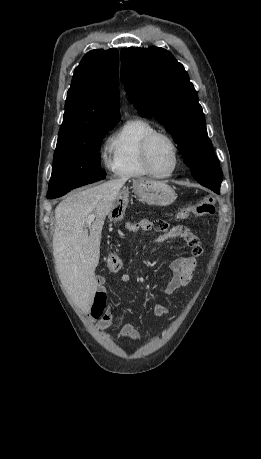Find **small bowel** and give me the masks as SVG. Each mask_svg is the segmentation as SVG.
<instances>
[{
	"label": "small bowel",
	"mask_w": 261,
	"mask_h": 459,
	"mask_svg": "<svg viewBox=\"0 0 261 459\" xmlns=\"http://www.w3.org/2000/svg\"><path fill=\"white\" fill-rule=\"evenodd\" d=\"M127 227L134 231H148L151 228L149 222L146 220L128 223ZM175 238H182L185 240L192 249V255L188 257H179L171 261L169 265L171 271V279L165 286L160 288V291L167 295L175 293L179 289L186 287L191 282L197 265L196 257L202 253L200 240L187 227L182 225H175L171 227L169 230L156 236L153 241L155 243H162ZM130 279V275L126 273L120 276L121 283H128ZM103 283V278H98V287L95 293V297L102 296L106 301V293L103 287ZM153 312L159 318H163L168 315V309L159 302L154 303ZM97 318V326L101 330L110 327L114 321V315L109 308H104L102 315ZM119 337L126 338L131 341L141 340L140 333L129 322L122 323Z\"/></svg>",
	"instance_id": "small-bowel-1"
}]
</instances>
